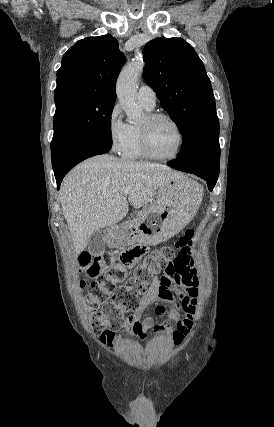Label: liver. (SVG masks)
Instances as JSON below:
<instances>
[{
  "label": "liver",
  "mask_w": 274,
  "mask_h": 427,
  "mask_svg": "<svg viewBox=\"0 0 274 427\" xmlns=\"http://www.w3.org/2000/svg\"><path fill=\"white\" fill-rule=\"evenodd\" d=\"M172 172L168 166L118 160L114 156H94L78 164L60 186V202L76 253L83 251L94 231L111 227L133 208H145L157 190L170 192ZM129 190L122 196L121 190Z\"/></svg>",
  "instance_id": "liver-1"
}]
</instances>
